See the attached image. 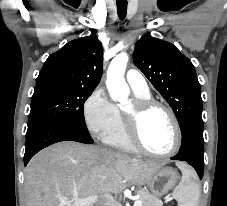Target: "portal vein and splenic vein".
<instances>
[{"instance_id":"1","label":"portal vein and splenic vein","mask_w":227,"mask_h":206,"mask_svg":"<svg viewBox=\"0 0 227 206\" xmlns=\"http://www.w3.org/2000/svg\"><path fill=\"white\" fill-rule=\"evenodd\" d=\"M97 200H98V196L93 195V196L87 197L85 199L76 201L73 204V206H92V204L95 203ZM65 204H67V206H72V203H70V202H65ZM133 206H142V202L139 200H136L134 202Z\"/></svg>"}]
</instances>
